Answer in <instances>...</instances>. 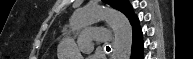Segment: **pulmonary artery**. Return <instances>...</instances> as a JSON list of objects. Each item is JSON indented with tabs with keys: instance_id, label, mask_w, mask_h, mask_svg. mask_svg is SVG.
Returning a JSON list of instances; mask_svg holds the SVG:
<instances>
[{
	"instance_id": "1",
	"label": "pulmonary artery",
	"mask_w": 193,
	"mask_h": 59,
	"mask_svg": "<svg viewBox=\"0 0 193 59\" xmlns=\"http://www.w3.org/2000/svg\"><path fill=\"white\" fill-rule=\"evenodd\" d=\"M105 41V33L99 27H84L79 33L78 44L81 48L89 52L94 49L92 40Z\"/></svg>"
}]
</instances>
